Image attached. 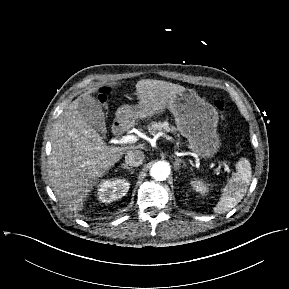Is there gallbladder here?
<instances>
[{
	"label": "gallbladder",
	"mask_w": 289,
	"mask_h": 289,
	"mask_svg": "<svg viewBox=\"0 0 289 289\" xmlns=\"http://www.w3.org/2000/svg\"><path fill=\"white\" fill-rule=\"evenodd\" d=\"M89 99L91 100L89 102H85L82 99L79 111L83 114L89 125L105 136L106 125L104 112L99 103L93 97L90 96Z\"/></svg>",
	"instance_id": "bac80fb5"
}]
</instances>
